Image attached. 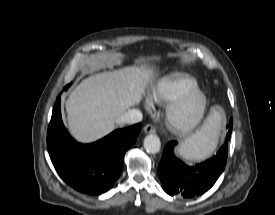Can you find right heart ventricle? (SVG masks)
<instances>
[{"mask_svg":"<svg viewBox=\"0 0 275 215\" xmlns=\"http://www.w3.org/2000/svg\"><path fill=\"white\" fill-rule=\"evenodd\" d=\"M197 80L186 73H174L159 81L152 93V99L159 104L170 103L179 95L197 89Z\"/></svg>","mask_w":275,"mask_h":215,"instance_id":"1","label":"right heart ventricle"}]
</instances>
